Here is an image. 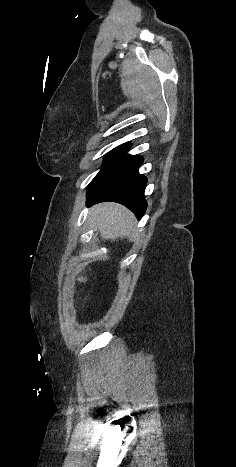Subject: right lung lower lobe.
<instances>
[{
	"mask_svg": "<svg viewBox=\"0 0 236 467\" xmlns=\"http://www.w3.org/2000/svg\"><path fill=\"white\" fill-rule=\"evenodd\" d=\"M123 147L106 163L87 189V204L115 201L131 209L140 219L146 211L144 190L147 179L139 174L141 156L126 154Z\"/></svg>",
	"mask_w": 236,
	"mask_h": 467,
	"instance_id": "right-lung-lower-lobe-1",
	"label": "right lung lower lobe"
}]
</instances>
